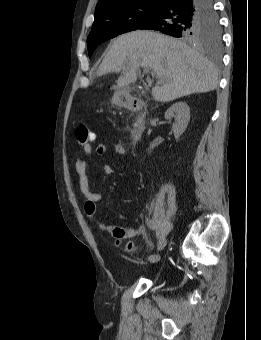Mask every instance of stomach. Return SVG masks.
Listing matches in <instances>:
<instances>
[{
    "label": "stomach",
    "mask_w": 261,
    "mask_h": 340,
    "mask_svg": "<svg viewBox=\"0 0 261 340\" xmlns=\"http://www.w3.org/2000/svg\"><path fill=\"white\" fill-rule=\"evenodd\" d=\"M126 98H127V93L125 90L123 89L116 90L112 97V103L116 106H123Z\"/></svg>",
    "instance_id": "0dacf381"
}]
</instances>
